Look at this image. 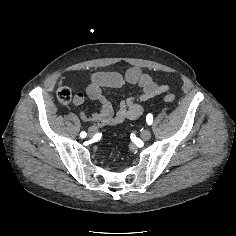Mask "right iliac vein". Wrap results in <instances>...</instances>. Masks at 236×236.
Returning a JSON list of instances; mask_svg holds the SVG:
<instances>
[{
	"label": "right iliac vein",
	"mask_w": 236,
	"mask_h": 236,
	"mask_svg": "<svg viewBox=\"0 0 236 236\" xmlns=\"http://www.w3.org/2000/svg\"><path fill=\"white\" fill-rule=\"evenodd\" d=\"M97 132V128L92 126L88 129V136L92 137Z\"/></svg>",
	"instance_id": "63e3f726"
}]
</instances>
